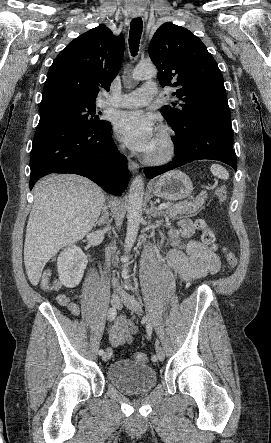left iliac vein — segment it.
<instances>
[{"mask_svg": "<svg viewBox=\"0 0 271 443\" xmlns=\"http://www.w3.org/2000/svg\"><path fill=\"white\" fill-rule=\"evenodd\" d=\"M123 304L130 309L132 312L140 315L141 314V305L139 301L132 295L125 294L122 299ZM157 356L159 361H163L165 359V353L161 346H157L156 348Z\"/></svg>", "mask_w": 271, "mask_h": 443, "instance_id": "1", "label": "left iliac vein"}]
</instances>
